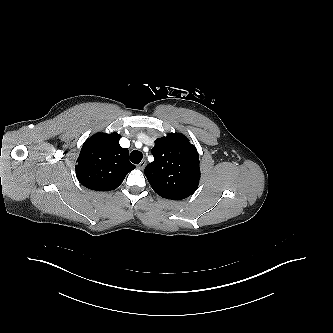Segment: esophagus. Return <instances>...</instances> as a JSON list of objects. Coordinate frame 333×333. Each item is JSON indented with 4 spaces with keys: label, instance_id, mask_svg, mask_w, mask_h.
Segmentation results:
<instances>
[{
    "label": "esophagus",
    "instance_id": "34e87169",
    "mask_svg": "<svg viewBox=\"0 0 333 333\" xmlns=\"http://www.w3.org/2000/svg\"><path fill=\"white\" fill-rule=\"evenodd\" d=\"M146 166V161L145 160H142L138 165H137V168L139 169H144Z\"/></svg>",
    "mask_w": 333,
    "mask_h": 333
}]
</instances>
